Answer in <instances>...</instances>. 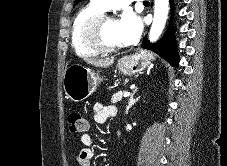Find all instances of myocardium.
Returning <instances> with one entry per match:
<instances>
[{"instance_id":"obj_1","label":"myocardium","mask_w":227,"mask_h":166,"mask_svg":"<svg viewBox=\"0 0 227 166\" xmlns=\"http://www.w3.org/2000/svg\"><path fill=\"white\" fill-rule=\"evenodd\" d=\"M113 18L108 12H102L89 17L81 28L83 42L98 53H113L121 49L119 46H107L100 40V28L107 20Z\"/></svg>"}]
</instances>
